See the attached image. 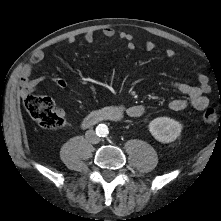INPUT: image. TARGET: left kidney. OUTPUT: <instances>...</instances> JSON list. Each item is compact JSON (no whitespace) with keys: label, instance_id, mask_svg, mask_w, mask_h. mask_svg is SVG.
<instances>
[{"label":"left kidney","instance_id":"5707ae66","mask_svg":"<svg viewBox=\"0 0 221 221\" xmlns=\"http://www.w3.org/2000/svg\"><path fill=\"white\" fill-rule=\"evenodd\" d=\"M149 131L159 142L169 143L180 136L182 125L169 117H158L149 123Z\"/></svg>","mask_w":221,"mask_h":221}]
</instances>
